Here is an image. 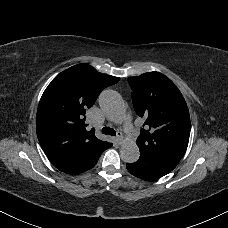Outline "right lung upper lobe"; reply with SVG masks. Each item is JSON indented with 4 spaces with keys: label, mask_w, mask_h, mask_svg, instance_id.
<instances>
[{
    "label": "right lung upper lobe",
    "mask_w": 228,
    "mask_h": 228,
    "mask_svg": "<svg viewBox=\"0 0 228 228\" xmlns=\"http://www.w3.org/2000/svg\"><path fill=\"white\" fill-rule=\"evenodd\" d=\"M120 80L102 74L88 64H78L58 74L45 89L36 116L39 142L59 170L84 156L108 148L111 143L87 130L86 109L100 92Z\"/></svg>",
    "instance_id": "1"
}]
</instances>
